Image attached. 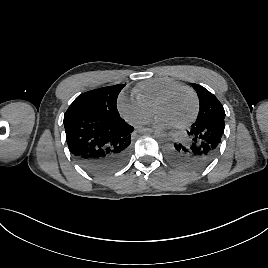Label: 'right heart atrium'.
<instances>
[{
    "label": "right heart atrium",
    "instance_id": "obj_1",
    "mask_svg": "<svg viewBox=\"0 0 268 268\" xmlns=\"http://www.w3.org/2000/svg\"><path fill=\"white\" fill-rule=\"evenodd\" d=\"M117 109L120 115L132 124H143L152 115V109L149 106L125 93L119 95Z\"/></svg>",
    "mask_w": 268,
    "mask_h": 268
}]
</instances>
